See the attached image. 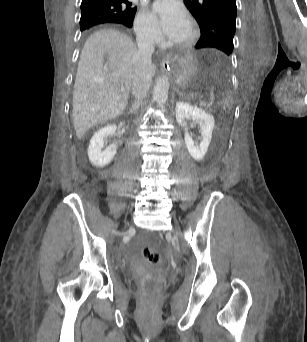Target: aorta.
<instances>
[{
  "mask_svg": "<svg viewBox=\"0 0 307 342\" xmlns=\"http://www.w3.org/2000/svg\"><path fill=\"white\" fill-rule=\"evenodd\" d=\"M169 88L170 82L169 78H166V76H160V78L156 80L152 98L158 108H164L168 100Z\"/></svg>",
  "mask_w": 307,
  "mask_h": 342,
  "instance_id": "762f6f07",
  "label": "aorta"
}]
</instances>
